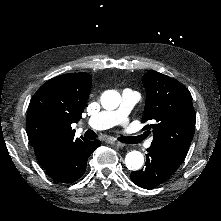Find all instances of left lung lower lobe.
<instances>
[{
  "instance_id": "1",
  "label": "left lung lower lobe",
  "mask_w": 221,
  "mask_h": 221,
  "mask_svg": "<svg viewBox=\"0 0 221 221\" xmlns=\"http://www.w3.org/2000/svg\"><path fill=\"white\" fill-rule=\"evenodd\" d=\"M146 155V167L130 174L131 180L145 189H153L162 184L178 169L166 154L158 148L150 146Z\"/></svg>"
}]
</instances>
